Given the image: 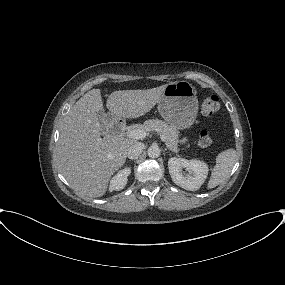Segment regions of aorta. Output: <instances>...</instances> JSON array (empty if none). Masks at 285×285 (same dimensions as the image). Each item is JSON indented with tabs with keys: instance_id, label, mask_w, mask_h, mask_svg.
Instances as JSON below:
<instances>
[{
	"instance_id": "762f6f07",
	"label": "aorta",
	"mask_w": 285,
	"mask_h": 285,
	"mask_svg": "<svg viewBox=\"0 0 285 285\" xmlns=\"http://www.w3.org/2000/svg\"><path fill=\"white\" fill-rule=\"evenodd\" d=\"M160 153H161V151H160L159 147L156 145L150 146L147 150L148 156L150 158H153V159L158 158L160 156Z\"/></svg>"
}]
</instances>
